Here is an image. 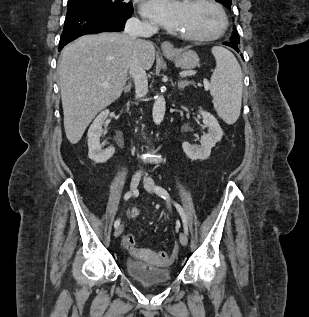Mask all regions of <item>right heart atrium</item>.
Masks as SVG:
<instances>
[{"mask_svg": "<svg viewBox=\"0 0 309 317\" xmlns=\"http://www.w3.org/2000/svg\"><path fill=\"white\" fill-rule=\"evenodd\" d=\"M141 24H142V26H144L146 28H151L152 27V24H150L148 22H142Z\"/></svg>", "mask_w": 309, "mask_h": 317, "instance_id": "right-heart-atrium-1", "label": "right heart atrium"}]
</instances>
